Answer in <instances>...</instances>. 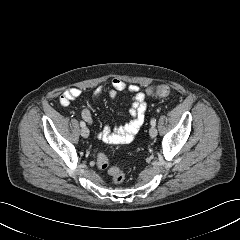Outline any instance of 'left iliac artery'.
Returning a JSON list of instances; mask_svg holds the SVG:
<instances>
[{
    "label": "left iliac artery",
    "instance_id": "44dca946",
    "mask_svg": "<svg viewBox=\"0 0 240 240\" xmlns=\"http://www.w3.org/2000/svg\"><path fill=\"white\" fill-rule=\"evenodd\" d=\"M151 125H152V126H155V125H156V119L153 118V119L151 120Z\"/></svg>",
    "mask_w": 240,
    "mask_h": 240
}]
</instances>
